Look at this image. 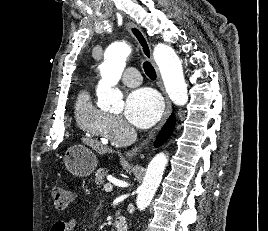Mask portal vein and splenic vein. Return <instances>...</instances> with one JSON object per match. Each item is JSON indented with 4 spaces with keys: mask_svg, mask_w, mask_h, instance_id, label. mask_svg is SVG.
<instances>
[{
    "mask_svg": "<svg viewBox=\"0 0 268 231\" xmlns=\"http://www.w3.org/2000/svg\"><path fill=\"white\" fill-rule=\"evenodd\" d=\"M104 190H105V192H112V190H113L112 184L111 183L105 184L104 185Z\"/></svg>",
    "mask_w": 268,
    "mask_h": 231,
    "instance_id": "18ae733b",
    "label": "portal vein and splenic vein"
}]
</instances>
